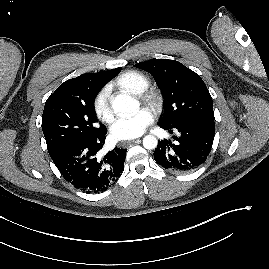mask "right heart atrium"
Here are the masks:
<instances>
[{
  "label": "right heart atrium",
  "instance_id": "obj_1",
  "mask_svg": "<svg viewBox=\"0 0 269 269\" xmlns=\"http://www.w3.org/2000/svg\"><path fill=\"white\" fill-rule=\"evenodd\" d=\"M94 111L96 115L105 122H111L113 119V110L109 103V89L102 88L94 98Z\"/></svg>",
  "mask_w": 269,
  "mask_h": 269
}]
</instances>
